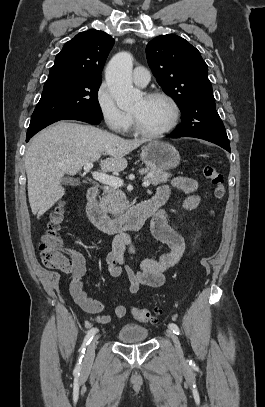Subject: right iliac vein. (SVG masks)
<instances>
[{
    "mask_svg": "<svg viewBox=\"0 0 265 407\" xmlns=\"http://www.w3.org/2000/svg\"><path fill=\"white\" fill-rule=\"evenodd\" d=\"M99 336H96L88 345L87 350H86V355H85V364L86 365H90L94 359L95 356V348H96V344H97V340H98Z\"/></svg>",
    "mask_w": 265,
    "mask_h": 407,
    "instance_id": "right-iliac-vein-1",
    "label": "right iliac vein"
}]
</instances>
